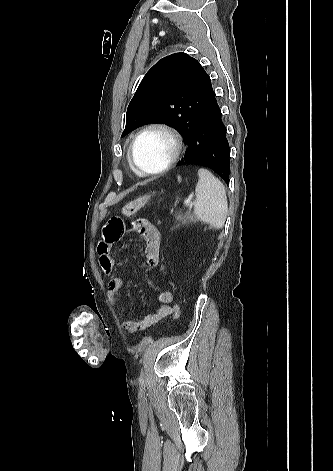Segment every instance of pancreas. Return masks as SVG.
Segmentation results:
<instances>
[{
  "mask_svg": "<svg viewBox=\"0 0 333 471\" xmlns=\"http://www.w3.org/2000/svg\"><path fill=\"white\" fill-rule=\"evenodd\" d=\"M195 217L194 214L191 212V210H187L186 212H178L175 215V222L177 223L176 227L179 225V223H182L183 225L194 223Z\"/></svg>",
  "mask_w": 333,
  "mask_h": 471,
  "instance_id": "pancreas-1",
  "label": "pancreas"
}]
</instances>
